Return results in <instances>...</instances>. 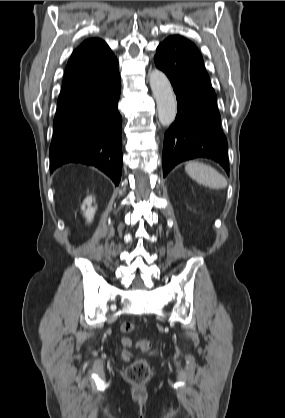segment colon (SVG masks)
<instances>
[{"mask_svg": "<svg viewBox=\"0 0 285 418\" xmlns=\"http://www.w3.org/2000/svg\"><path fill=\"white\" fill-rule=\"evenodd\" d=\"M120 330L123 333H131L135 330V326L130 322H123L120 326ZM123 345H129L130 340L128 338L122 339ZM138 347L146 351L149 349V342L147 340H141L138 343ZM151 375V367L147 360L138 359L135 360L125 372V377L131 384H141L145 382Z\"/></svg>", "mask_w": 285, "mask_h": 418, "instance_id": "obj_1", "label": "colon"}]
</instances>
